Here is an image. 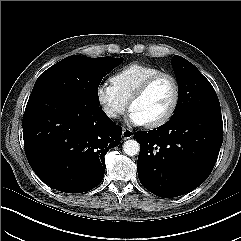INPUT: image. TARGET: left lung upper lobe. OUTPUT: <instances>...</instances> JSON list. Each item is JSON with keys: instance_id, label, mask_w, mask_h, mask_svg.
<instances>
[{"instance_id": "5c2ea615", "label": "left lung upper lobe", "mask_w": 241, "mask_h": 241, "mask_svg": "<svg viewBox=\"0 0 241 241\" xmlns=\"http://www.w3.org/2000/svg\"><path fill=\"white\" fill-rule=\"evenodd\" d=\"M179 88V98L172 117L191 109H220V103L211 83L189 61L175 55L172 58Z\"/></svg>"}]
</instances>
